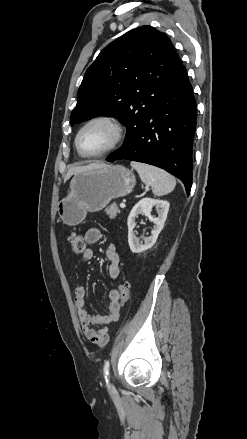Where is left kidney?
I'll return each mask as SVG.
<instances>
[{"mask_svg":"<svg viewBox=\"0 0 247 439\" xmlns=\"http://www.w3.org/2000/svg\"><path fill=\"white\" fill-rule=\"evenodd\" d=\"M169 202L165 200H157L152 198H143L141 199L131 210L127 225H128V243L131 251L133 253H141L149 248H151L160 232L164 227V223L167 218L168 210H169ZM155 207L158 217H153L151 215L152 208ZM139 214H145L151 222L154 223L153 230L151 232V236L144 239V243H140L139 239L134 234V228L136 226L135 218Z\"/></svg>","mask_w":247,"mask_h":439,"instance_id":"5707ae66","label":"left kidney"}]
</instances>
